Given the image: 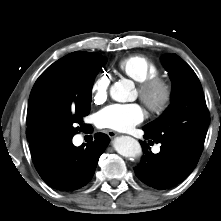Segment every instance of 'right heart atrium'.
<instances>
[{
  "label": "right heart atrium",
  "mask_w": 221,
  "mask_h": 221,
  "mask_svg": "<svg viewBox=\"0 0 221 221\" xmlns=\"http://www.w3.org/2000/svg\"><path fill=\"white\" fill-rule=\"evenodd\" d=\"M110 78L107 74L99 75L91 85L92 100L96 104H101L108 97Z\"/></svg>",
  "instance_id": "d8ad5b80"
}]
</instances>
